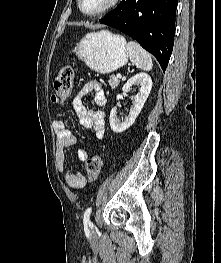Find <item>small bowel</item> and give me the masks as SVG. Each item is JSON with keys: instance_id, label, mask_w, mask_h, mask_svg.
Here are the masks:
<instances>
[{"instance_id": "c3829d8e", "label": "small bowel", "mask_w": 221, "mask_h": 263, "mask_svg": "<svg viewBox=\"0 0 221 263\" xmlns=\"http://www.w3.org/2000/svg\"><path fill=\"white\" fill-rule=\"evenodd\" d=\"M93 94L94 102L98 106H103L106 103V97L102 85L98 81L87 82L74 101V108L78 114L81 124L95 134L97 139H102L105 133L104 112L100 110H88L83 105L82 98L87 94ZM53 127L56 132V153L55 159L59 172L63 175L66 183L78 189L85 184L84 175L79 172H73L66 169L65 163V148L72 146L76 143L74 133L66 126L62 120H55ZM88 157V149L81 148L78 150V158L85 160Z\"/></svg>"}]
</instances>
